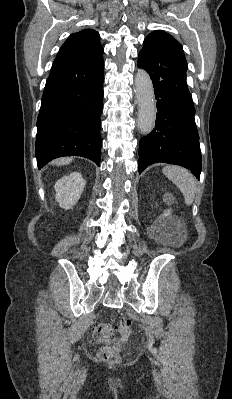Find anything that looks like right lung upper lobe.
Wrapping results in <instances>:
<instances>
[{
  "mask_svg": "<svg viewBox=\"0 0 232 399\" xmlns=\"http://www.w3.org/2000/svg\"><path fill=\"white\" fill-rule=\"evenodd\" d=\"M99 34L93 29H84L69 36L60 48L58 58L92 57L103 53Z\"/></svg>",
  "mask_w": 232,
  "mask_h": 399,
  "instance_id": "cb5924a9",
  "label": "right lung upper lobe"
}]
</instances>
